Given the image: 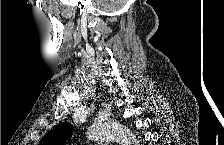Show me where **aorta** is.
Returning a JSON list of instances; mask_svg holds the SVG:
<instances>
[{"instance_id": "762f6f07", "label": "aorta", "mask_w": 224, "mask_h": 145, "mask_svg": "<svg viewBox=\"0 0 224 145\" xmlns=\"http://www.w3.org/2000/svg\"><path fill=\"white\" fill-rule=\"evenodd\" d=\"M87 137L93 141H115L120 145H137L135 135L116 122L95 123L87 130Z\"/></svg>"}]
</instances>
